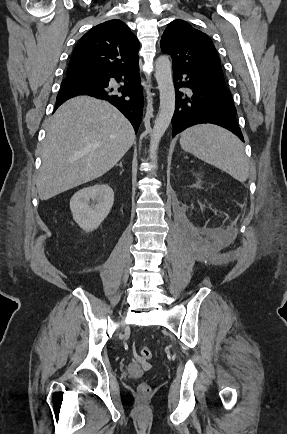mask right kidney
<instances>
[{
  "label": "right kidney",
  "mask_w": 287,
  "mask_h": 434,
  "mask_svg": "<svg viewBox=\"0 0 287 434\" xmlns=\"http://www.w3.org/2000/svg\"><path fill=\"white\" fill-rule=\"evenodd\" d=\"M113 202L112 188L107 184H96L76 192L70 200V210L80 228L90 232L108 216Z\"/></svg>",
  "instance_id": "1"
}]
</instances>
